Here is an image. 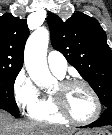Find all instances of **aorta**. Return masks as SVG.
<instances>
[{
	"label": "aorta",
	"instance_id": "762f6f07",
	"mask_svg": "<svg viewBox=\"0 0 112 135\" xmlns=\"http://www.w3.org/2000/svg\"><path fill=\"white\" fill-rule=\"evenodd\" d=\"M49 31L42 27L35 30L27 40L24 51V63L30 78L41 89L50 87L55 78L47 65Z\"/></svg>",
	"mask_w": 112,
	"mask_h": 135
}]
</instances>
